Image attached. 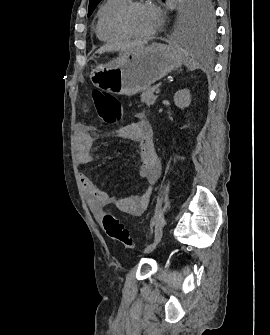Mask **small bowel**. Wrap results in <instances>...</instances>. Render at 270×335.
<instances>
[{
  "label": "small bowel",
  "instance_id": "obj_1",
  "mask_svg": "<svg viewBox=\"0 0 270 335\" xmlns=\"http://www.w3.org/2000/svg\"><path fill=\"white\" fill-rule=\"evenodd\" d=\"M95 128L88 124L79 123L76 127V138L78 142V161L87 165L93 160L91 149L94 144ZM119 136L122 139L130 140L138 144L140 162L137 165L139 177L153 184L159 177V164L153 147L152 127L144 119L127 123L119 129ZM80 180L84 191L87 194V202L90 210L96 218L102 215L105 206L114 204L118 211L130 216H140L148 208L151 190L148 189L141 195L113 200L106 191L98 187L84 173L80 174Z\"/></svg>",
  "mask_w": 270,
  "mask_h": 335
}]
</instances>
